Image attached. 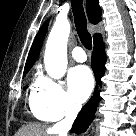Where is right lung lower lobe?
<instances>
[{"instance_id": "obj_1", "label": "right lung lower lobe", "mask_w": 136, "mask_h": 136, "mask_svg": "<svg viewBox=\"0 0 136 136\" xmlns=\"http://www.w3.org/2000/svg\"><path fill=\"white\" fill-rule=\"evenodd\" d=\"M104 49L105 45L101 36L94 41V49L91 59L92 69L95 73L97 85L100 83V79L105 72L106 54ZM98 102L99 92L95 90L93 97L86 103L76 118L71 129L72 133H83L88 128L89 124L94 119Z\"/></svg>"}]
</instances>
